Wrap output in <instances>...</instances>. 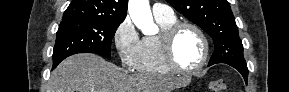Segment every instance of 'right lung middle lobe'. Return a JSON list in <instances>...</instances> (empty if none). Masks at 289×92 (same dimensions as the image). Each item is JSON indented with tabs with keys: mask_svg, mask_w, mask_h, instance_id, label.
<instances>
[{
	"mask_svg": "<svg viewBox=\"0 0 289 92\" xmlns=\"http://www.w3.org/2000/svg\"><path fill=\"white\" fill-rule=\"evenodd\" d=\"M122 22L103 20H62L57 31L53 67L76 53L91 52L111 57V40Z\"/></svg>",
	"mask_w": 289,
	"mask_h": 92,
	"instance_id": "obj_1",
	"label": "right lung middle lobe"
}]
</instances>
